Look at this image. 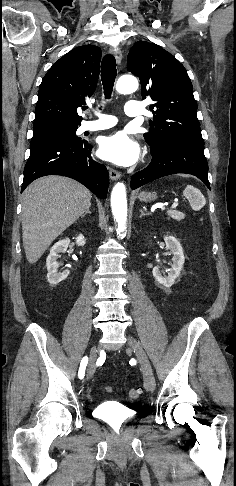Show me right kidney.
Listing matches in <instances>:
<instances>
[{"label": "right kidney", "instance_id": "right-kidney-1", "mask_svg": "<svg viewBox=\"0 0 236 486\" xmlns=\"http://www.w3.org/2000/svg\"><path fill=\"white\" fill-rule=\"evenodd\" d=\"M70 240L63 239L55 243L52 248L50 249V253L46 259V267L48 270L47 273V281L52 285L55 286L59 284L61 281L65 280L68 275L69 271H64V272H58V267L59 264L57 262V258L59 256V253L65 252L69 246ZM76 244L78 246H84L85 245V238L82 234H80L76 238Z\"/></svg>", "mask_w": 236, "mask_h": 486}]
</instances>
